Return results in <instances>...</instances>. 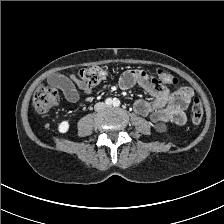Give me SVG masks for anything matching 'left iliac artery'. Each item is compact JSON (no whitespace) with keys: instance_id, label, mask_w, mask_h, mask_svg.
<instances>
[{"instance_id":"44dca946","label":"left iliac artery","mask_w":224,"mask_h":224,"mask_svg":"<svg viewBox=\"0 0 224 224\" xmlns=\"http://www.w3.org/2000/svg\"><path fill=\"white\" fill-rule=\"evenodd\" d=\"M120 100L119 99H117V98H114L113 99V105L115 106V107H118V106H120Z\"/></svg>"}]
</instances>
